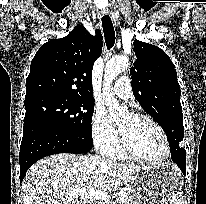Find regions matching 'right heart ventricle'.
<instances>
[{
    "mask_svg": "<svg viewBox=\"0 0 206 204\" xmlns=\"http://www.w3.org/2000/svg\"><path fill=\"white\" fill-rule=\"evenodd\" d=\"M107 157L113 160H128L131 159L122 149L119 141V136H117L113 145L104 153Z\"/></svg>",
    "mask_w": 206,
    "mask_h": 204,
    "instance_id": "1",
    "label": "right heart ventricle"
}]
</instances>
